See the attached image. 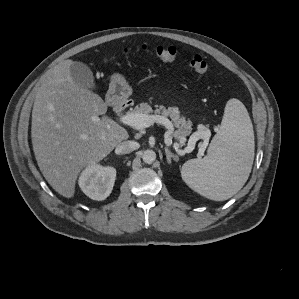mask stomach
I'll use <instances>...</instances> for the list:
<instances>
[{
	"label": "stomach",
	"instance_id": "0dacf381",
	"mask_svg": "<svg viewBox=\"0 0 299 299\" xmlns=\"http://www.w3.org/2000/svg\"><path fill=\"white\" fill-rule=\"evenodd\" d=\"M109 93L117 100H124L131 95L132 91L125 78L121 74L114 73L111 76Z\"/></svg>",
	"mask_w": 299,
	"mask_h": 299
}]
</instances>
